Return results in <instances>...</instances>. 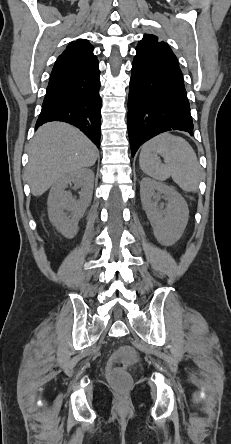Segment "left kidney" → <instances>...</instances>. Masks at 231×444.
Returning a JSON list of instances; mask_svg holds the SVG:
<instances>
[{
	"instance_id": "1",
	"label": "left kidney",
	"mask_w": 231,
	"mask_h": 444,
	"mask_svg": "<svg viewBox=\"0 0 231 444\" xmlns=\"http://www.w3.org/2000/svg\"><path fill=\"white\" fill-rule=\"evenodd\" d=\"M160 195H164L167 201L164 210L157 205ZM140 197L157 241L165 246H171L177 242L189 218V210L184 198L171 186L147 177L140 182ZM161 206L163 207L164 204Z\"/></svg>"
}]
</instances>
